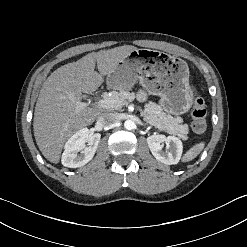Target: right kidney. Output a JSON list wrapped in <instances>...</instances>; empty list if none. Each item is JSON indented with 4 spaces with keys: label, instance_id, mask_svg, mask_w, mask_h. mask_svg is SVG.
<instances>
[{
    "label": "right kidney",
    "instance_id": "1",
    "mask_svg": "<svg viewBox=\"0 0 247 247\" xmlns=\"http://www.w3.org/2000/svg\"><path fill=\"white\" fill-rule=\"evenodd\" d=\"M100 138L99 133L91 134L88 128L76 132L65 144L62 164L69 168H78L87 164L94 157ZM86 143L87 147H85Z\"/></svg>",
    "mask_w": 247,
    "mask_h": 247
}]
</instances>
